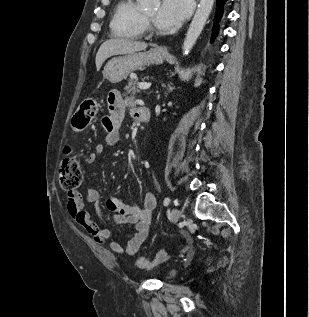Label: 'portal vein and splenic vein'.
Segmentation results:
<instances>
[{"instance_id":"portal-vein-and-splenic-vein-1","label":"portal vein and splenic vein","mask_w":309,"mask_h":317,"mask_svg":"<svg viewBox=\"0 0 309 317\" xmlns=\"http://www.w3.org/2000/svg\"><path fill=\"white\" fill-rule=\"evenodd\" d=\"M138 87L141 89V90H147L151 87V83H148V82H140L138 83Z\"/></svg>"}]
</instances>
